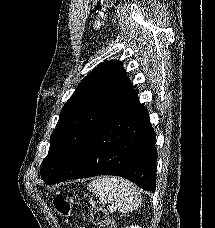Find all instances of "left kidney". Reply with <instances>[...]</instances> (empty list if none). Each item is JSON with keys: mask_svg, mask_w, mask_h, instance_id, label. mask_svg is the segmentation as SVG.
<instances>
[{"mask_svg": "<svg viewBox=\"0 0 215 228\" xmlns=\"http://www.w3.org/2000/svg\"><path fill=\"white\" fill-rule=\"evenodd\" d=\"M129 228H139V226H129Z\"/></svg>", "mask_w": 215, "mask_h": 228, "instance_id": "left-kidney-1", "label": "left kidney"}]
</instances>
